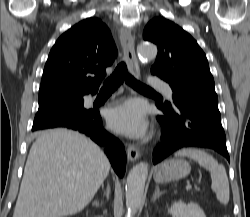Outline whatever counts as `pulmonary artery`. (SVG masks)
Instances as JSON below:
<instances>
[{
    "instance_id": "pulmonary-artery-1",
    "label": "pulmonary artery",
    "mask_w": 250,
    "mask_h": 217,
    "mask_svg": "<svg viewBox=\"0 0 250 217\" xmlns=\"http://www.w3.org/2000/svg\"><path fill=\"white\" fill-rule=\"evenodd\" d=\"M149 82L153 87L162 91L167 98L172 99L173 92L167 82L157 79H151Z\"/></svg>"
}]
</instances>
